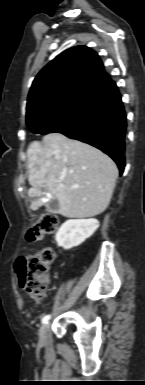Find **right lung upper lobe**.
I'll return each mask as SVG.
<instances>
[{
  "label": "right lung upper lobe",
  "mask_w": 145,
  "mask_h": 385,
  "mask_svg": "<svg viewBox=\"0 0 145 385\" xmlns=\"http://www.w3.org/2000/svg\"><path fill=\"white\" fill-rule=\"evenodd\" d=\"M113 83L93 50L85 46L70 48L47 64L34 79L27 113L66 91L87 89L99 93Z\"/></svg>",
  "instance_id": "right-lung-upper-lobe-1"
}]
</instances>
